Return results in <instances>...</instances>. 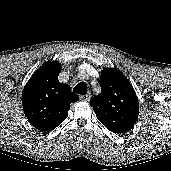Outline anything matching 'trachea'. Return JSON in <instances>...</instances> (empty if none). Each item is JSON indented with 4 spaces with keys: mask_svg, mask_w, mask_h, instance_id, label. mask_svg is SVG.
I'll list each match as a JSON object with an SVG mask.
<instances>
[{
    "mask_svg": "<svg viewBox=\"0 0 171 171\" xmlns=\"http://www.w3.org/2000/svg\"><path fill=\"white\" fill-rule=\"evenodd\" d=\"M73 91L77 94L85 95L87 94V85L85 82L78 83L74 88Z\"/></svg>",
    "mask_w": 171,
    "mask_h": 171,
    "instance_id": "trachea-1",
    "label": "trachea"
}]
</instances>
